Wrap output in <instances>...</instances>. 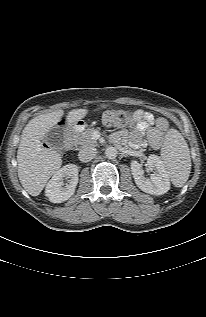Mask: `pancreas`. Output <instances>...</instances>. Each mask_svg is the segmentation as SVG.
Listing matches in <instances>:
<instances>
[{
  "mask_svg": "<svg viewBox=\"0 0 206 317\" xmlns=\"http://www.w3.org/2000/svg\"><path fill=\"white\" fill-rule=\"evenodd\" d=\"M94 131H95L94 128H89L84 132H78V131L73 132V135H72L73 143L76 145H82L83 147L96 146L97 141L92 138V134Z\"/></svg>",
  "mask_w": 206,
  "mask_h": 317,
  "instance_id": "cf45deb5",
  "label": "pancreas"
}]
</instances>
